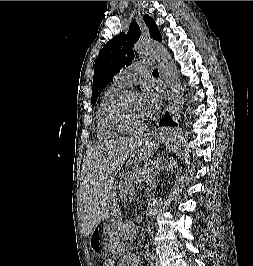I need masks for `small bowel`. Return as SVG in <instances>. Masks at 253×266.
I'll return each mask as SVG.
<instances>
[{
	"label": "small bowel",
	"mask_w": 253,
	"mask_h": 266,
	"mask_svg": "<svg viewBox=\"0 0 253 266\" xmlns=\"http://www.w3.org/2000/svg\"><path fill=\"white\" fill-rule=\"evenodd\" d=\"M110 266H113V261L109 262ZM119 266H142L138 258L134 255H125L119 263Z\"/></svg>",
	"instance_id": "c3829d8e"
}]
</instances>
